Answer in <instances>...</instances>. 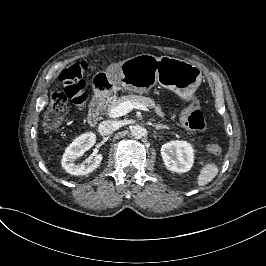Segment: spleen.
<instances>
[{"label":"spleen","mask_w":266,"mask_h":266,"mask_svg":"<svg viewBox=\"0 0 266 266\" xmlns=\"http://www.w3.org/2000/svg\"><path fill=\"white\" fill-rule=\"evenodd\" d=\"M219 166L217 162H208L201 166L196 176V186L203 187L210 183L218 174Z\"/></svg>","instance_id":"spleen-1"}]
</instances>
